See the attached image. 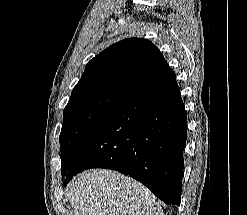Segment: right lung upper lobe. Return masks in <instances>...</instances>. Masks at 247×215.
<instances>
[{
	"instance_id": "obj_1",
	"label": "right lung upper lobe",
	"mask_w": 247,
	"mask_h": 215,
	"mask_svg": "<svg viewBox=\"0 0 247 215\" xmlns=\"http://www.w3.org/2000/svg\"><path fill=\"white\" fill-rule=\"evenodd\" d=\"M163 62V55L151 41L128 38L91 59L73 92L103 88L132 90Z\"/></svg>"
}]
</instances>
